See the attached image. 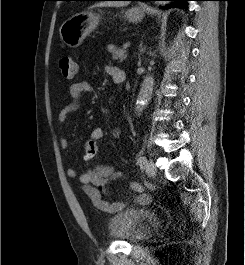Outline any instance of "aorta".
Segmentation results:
<instances>
[{
    "instance_id": "obj_1",
    "label": "aorta",
    "mask_w": 245,
    "mask_h": 265,
    "mask_svg": "<svg viewBox=\"0 0 245 265\" xmlns=\"http://www.w3.org/2000/svg\"><path fill=\"white\" fill-rule=\"evenodd\" d=\"M154 87V78L152 75L147 74L144 77L143 83L141 85L140 92L138 94L135 110L138 115L145 109L151 100Z\"/></svg>"
}]
</instances>
